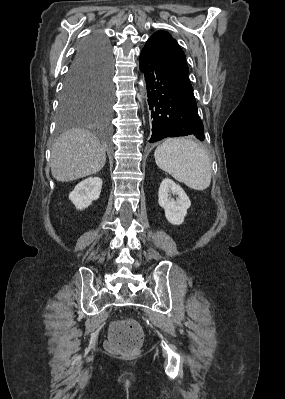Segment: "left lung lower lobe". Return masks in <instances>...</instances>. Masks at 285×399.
Masks as SVG:
<instances>
[{
  "instance_id": "left-lung-lower-lobe-1",
  "label": "left lung lower lobe",
  "mask_w": 285,
  "mask_h": 399,
  "mask_svg": "<svg viewBox=\"0 0 285 399\" xmlns=\"http://www.w3.org/2000/svg\"><path fill=\"white\" fill-rule=\"evenodd\" d=\"M139 67L144 72L151 110L150 143L166 137L194 135L204 140L192 87L176 78L156 57L142 49Z\"/></svg>"
}]
</instances>
